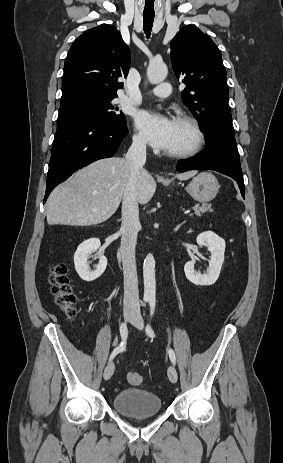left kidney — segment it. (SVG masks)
Listing matches in <instances>:
<instances>
[{"label":"left kidney","mask_w":283,"mask_h":463,"mask_svg":"<svg viewBox=\"0 0 283 463\" xmlns=\"http://www.w3.org/2000/svg\"><path fill=\"white\" fill-rule=\"evenodd\" d=\"M197 244L205 246L211 252V259L207 274L197 272L195 261H188L184 266V272L187 279L195 285L210 286L213 285L220 274L222 264L224 262L225 240L220 238L212 231L202 232L197 236Z\"/></svg>","instance_id":"1"}]
</instances>
